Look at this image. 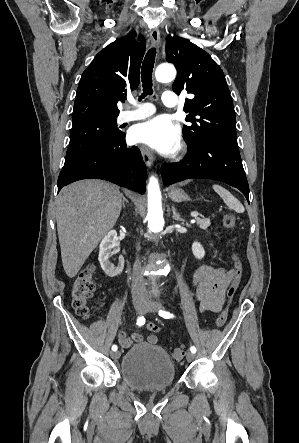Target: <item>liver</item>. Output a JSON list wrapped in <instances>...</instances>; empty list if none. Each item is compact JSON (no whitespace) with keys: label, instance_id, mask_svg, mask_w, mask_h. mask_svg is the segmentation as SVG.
Instances as JSON below:
<instances>
[{"label":"liver","instance_id":"6515ba94","mask_svg":"<svg viewBox=\"0 0 299 443\" xmlns=\"http://www.w3.org/2000/svg\"><path fill=\"white\" fill-rule=\"evenodd\" d=\"M119 188L102 180H81L64 187L56 200V222L66 275L73 278L110 231L121 212Z\"/></svg>","mask_w":299,"mask_h":443}]
</instances>
